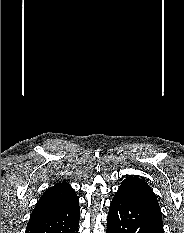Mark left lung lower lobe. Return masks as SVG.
Wrapping results in <instances>:
<instances>
[{
	"label": "left lung lower lobe",
	"instance_id": "left-lung-lower-lobe-1",
	"mask_svg": "<svg viewBox=\"0 0 184 233\" xmlns=\"http://www.w3.org/2000/svg\"><path fill=\"white\" fill-rule=\"evenodd\" d=\"M107 233H164V230L143 205L116 192L108 212Z\"/></svg>",
	"mask_w": 184,
	"mask_h": 233
}]
</instances>
